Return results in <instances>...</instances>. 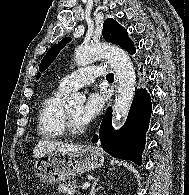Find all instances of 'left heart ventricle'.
I'll use <instances>...</instances> for the list:
<instances>
[{
	"instance_id": "1",
	"label": "left heart ventricle",
	"mask_w": 189,
	"mask_h": 195,
	"mask_svg": "<svg viewBox=\"0 0 189 195\" xmlns=\"http://www.w3.org/2000/svg\"><path fill=\"white\" fill-rule=\"evenodd\" d=\"M81 108H82L81 104H74V105L68 106L66 109L68 110L73 123L77 127L84 128L85 126L79 120V113H80Z\"/></svg>"
}]
</instances>
